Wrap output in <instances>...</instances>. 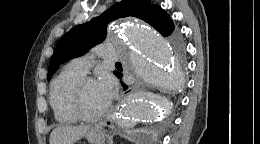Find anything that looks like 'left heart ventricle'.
<instances>
[{"label":"left heart ventricle","mask_w":260,"mask_h":144,"mask_svg":"<svg viewBox=\"0 0 260 144\" xmlns=\"http://www.w3.org/2000/svg\"><path fill=\"white\" fill-rule=\"evenodd\" d=\"M107 105L100 91L98 82L87 84L81 96V106L88 114H96Z\"/></svg>","instance_id":"left-heart-ventricle-1"}]
</instances>
